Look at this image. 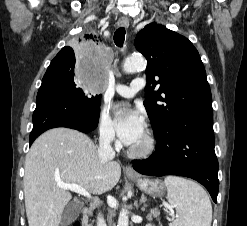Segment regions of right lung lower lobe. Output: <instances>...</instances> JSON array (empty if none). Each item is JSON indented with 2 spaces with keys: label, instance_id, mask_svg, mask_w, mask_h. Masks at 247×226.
<instances>
[{
  "label": "right lung lower lobe",
  "instance_id": "98d812e1",
  "mask_svg": "<svg viewBox=\"0 0 247 226\" xmlns=\"http://www.w3.org/2000/svg\"><path fill=\"white\" fill-rule=\"evenodd\" d=\"M99 114L100 109L91 106L61 77L47 71L36 98L30 145L41 133L55 127L91 132L98 125Z\"/></svg>",
  "mask_w": 247,
  "mask_h": 226
}]
</instances>
